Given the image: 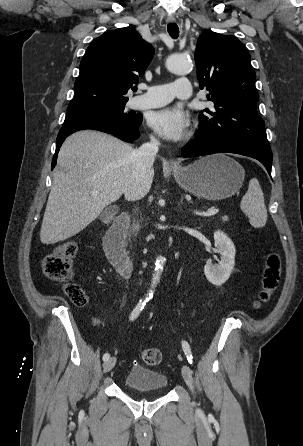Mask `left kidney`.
<instances>
[{"label":"left kidney","mask_w":303,"mask_h":446,"mask_svg":"<svg viewBox=\"0 0 303 446\" xmlns=\"http://www.w3.org/2000/svg\"><path fill=\"white\" fill-rule=\"evenodd\" d=\"M216 251L221 255L216 264L207 262L204 273L207 280L215 286H221L230 277L235 265L236 249L232 240L222 231L214 232Z\"/></svg>","instance_id":"left-kidney-1"}]
</instances>
